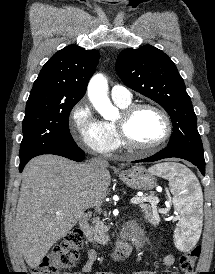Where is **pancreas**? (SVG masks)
Returning <instances> with one entry per match:
<instances>
[{
  "label": "pancreas",
  "mask_w": 215,
  "mask_h": 274,
  "mask_svg": "<svg viewBox=\"0 0 215 274\" xmlns=\"http://www.w3.org/2000/svg\"><path fill=\"white\" fill-rule=\"evenodd\" d=\"M149 197H153L150 195ZM149 203H141L140 207L144 212L145 217L149 220V222L156 224L158 222V218L156 216L157 213V203L159 200L157 198L154 201H147ZM108 228L104 224V220H100L99 218H94L91 226L88 228L87 237L92 242H97L98 244L105 245L109 241V237L107 234Z\"/></svg>",
  "instance_id": "cf45deb5"
}]
</instances>
